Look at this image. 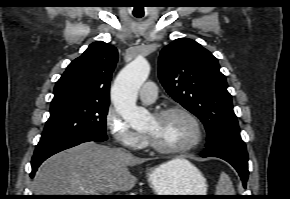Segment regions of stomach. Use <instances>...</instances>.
I'll list each match as a JSON object with an SVG mask.
<instances>
[{
	"instance_id": "stomach-1",
	"label": "stomach",
	"mask_w": 290,
	"mask_h": 199,
	"mask_svg": "<svg viewBox=\"0 0 290 199\" xmlns=\"http://www.w3.org/2000/svg\"><path fill=\"white\" fill-rule=\"evenodd\" d=\"M148 182L156 195H206L207 181L190 162L175 166L161 164L148 172ZM165 198L197 199L198 196H171Z\"/></svg>"
}]
</instances>
